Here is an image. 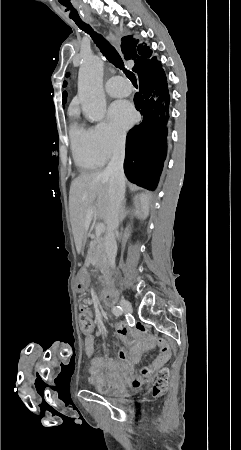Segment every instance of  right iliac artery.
<instances>
[{
	"label": "right iliac artery",
	"instance_id": "1",
	"mask_svg": "<svg viewBox=\"0 0 241 450\" xmlns=\"http://www.w3.org/2000/svg\"><path fill=\"white\" fill-rule=\"evenodd\" d=\"M115 316H121L123 313V310L120 306H114L112 309Z\"/></svg>",
	"mask_w": 241,
	"mask_h": 450
}]
</instances>
